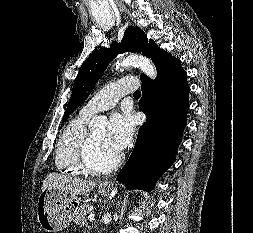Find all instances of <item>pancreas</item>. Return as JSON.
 I'll list each match as a JSON object with an SVG mask.
<instances>
[{"label": "pancreas", "instance_id": "pancreas-1", "mask_svg": "<svg viewBox=\"0 0 253 233\" xmlns=\"http://www.w3.org/2000/svg\"><path fill=\"white\" fill-rule=\"evenodd\" d=\"M91 211L87 205H82L80 208V213L75 217L74 222L80 226L87 225V214H90Z\"/></svg>", "mask_w": 253, "mask_h": 233}]
</instances>
